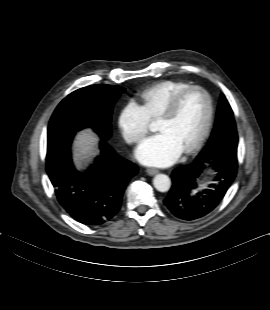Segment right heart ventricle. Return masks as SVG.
<instances>
[{
    "instance_id": "obj_1",
    "label": "right heart ventricle",
    "mask_w": 270,
    "mask_h": 310,
    "mask_svg": "<svg viewBox=\"0 0 270 310\" xmlns=\"http://www.w3.org/2000/svg\"><path fill=\"white\" fill-rule=\"evenodd\" d=\"M188 86L189 84L182 81L166 80L155 83L144 89L140 94V100L149 118H158L171 98L177 92Z\"/></svg>"
}]
</instances>
